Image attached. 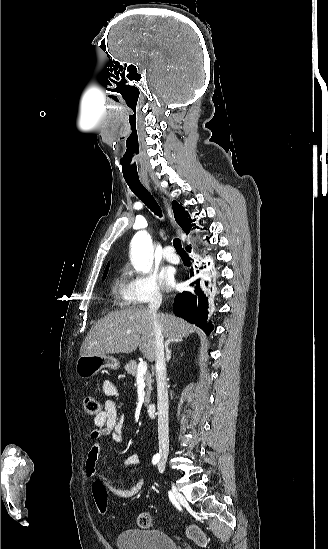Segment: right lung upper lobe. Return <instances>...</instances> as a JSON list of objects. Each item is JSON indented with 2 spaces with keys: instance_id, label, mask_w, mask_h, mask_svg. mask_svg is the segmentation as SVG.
I'll return each mask as SVG.
<instances>
[{
  "instance_id": "obj_1",
  "label": "right lung upper lobe",
  "mask_w": 328,
  "mask_h": 549,
  "mask_svg": "<svg viewBox=\"0 0 328 549\" xmlns=\"http://www.w3.org/2000/svg\"><path fill=\"white\" fill-rule=\"evenodd\" d=\"M172 208H173L174 217H175L176 222L182 227L183 231L186 234H188L191 227L195 225V224H192V222H194L195 219L191 220L188 212L185 211V208L182 205H180L179 203H177L176 201H172ZM195 227L199 228L196 225H195ZM186 249L189 252L191 251L190 246H187ZM108 269H109V264H107L104 273L108 272Z\"/></svg>"
}]
</instances>
